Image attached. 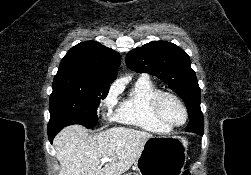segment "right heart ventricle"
I'll list each match as a JSON object with an SVG mask.
<instances>
[{
  "mask_svg": "<svg viewBox=\"0 0 251 175\" xmlns=\"http://www.w3.org/2000/svg\"><path fill=\"white\" fill-rule=\"evenodd\" d=\"M160 91L149 79H138L129 96L123 100L116 119L149 133L170 134L171 130L163 126L151 110V101Z\"/></svg>",
  "mask_w": 251,
  "mask_h": 175,
  "instance_id": "obj_1",
  "label": "right heart ventricle"
}]
</instances>
